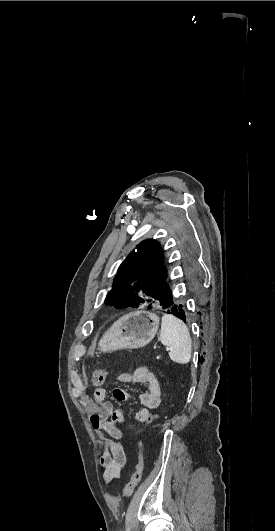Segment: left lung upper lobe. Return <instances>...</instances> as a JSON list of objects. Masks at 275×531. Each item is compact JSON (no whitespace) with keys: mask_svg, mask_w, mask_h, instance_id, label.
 Returning <instances> with one entry per match:
<instances>
[{"mask_svg":"<svg viewBox=\"0 0 275 531\" xmlns=\"http://www.w3.org/2000/svg\"><path fill=\"white\" fill-rule=\"evenodd\" d=\"M166 278L160 244L153 239L142 241L120 265L105 304L116 308L167 307L173 300Z\"/></svg>","mask_w":275,"mask_h":531,"instance_id":"5c2ea615","label":"left lung upper lobe"}]
</instances>
